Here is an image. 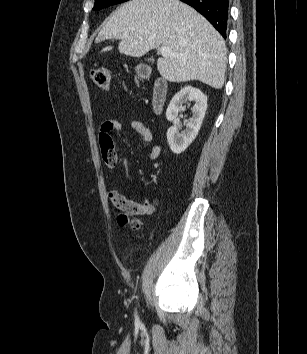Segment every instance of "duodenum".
<instances>
[{
  "label": "duodenum",
  "mask_w": 307,
  "mask_h": 354,
  "mask_svg": "<svg viewBox=\"0 0 307 354\" xmlns=\"http://www.w3.org/2000/svg\"><path fill=\"white\" fill-rule=\"evenodd\" d=\"M168 93L167 82L163 79H157L154 83L152 94V109L155 113H160L165 104Z\"/></svg>",
  "instance_id": "duodenum-1"
}]
</instances>
